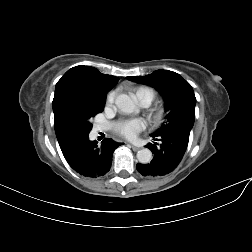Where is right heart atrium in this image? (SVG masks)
<instances>
[{
    "label": "right heart atrium",
    "instance_id": "d8ad5b80",
    "mask_svg": "<svg viewBox=\"0 0 252 252\" xmlns=\"http://www.w3.org/2000/svg\"><path fill=\"white\" fill-rule=\"evenodd\" d=\"M116 93L114 91H111L108 93L106 97V107H111L114 103Z\"/></svg>",
    "mask_w": 252,
    "mask_h": 252
}]
</instances>
